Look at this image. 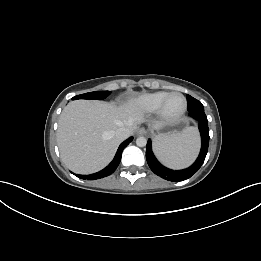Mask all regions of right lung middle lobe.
Here are the masks:
<instances>
[{
    "label": "right lung middle lobe",
    "instance_id": "obj_1",
    "mask_svg": "<svg viewBox=\"0 0 261 261\" xmlns=\"http://www.w3.org/2000/svg\"><path fill=\"white\" fill-rule=\"evenodd\" d=\"M110 94V91H95V92H89L85 94H81L78 96L73 97V100L75 99H97L101 100L106 98Z\"/></svg>",
    "mask_w": 261,
    "mask_h": 261
}]
</instances>
